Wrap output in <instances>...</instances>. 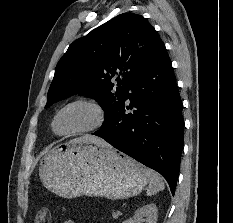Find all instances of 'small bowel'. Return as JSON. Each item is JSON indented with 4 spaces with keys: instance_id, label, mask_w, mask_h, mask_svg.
Masks as SVG:
<instances>
[{
    "instance_id": "c3829d8e",
    "label": "small bowel",
    "mask_w": 233,
    "mask_h": 223,
    "mask_svg": "<svg viewBox=\"0 0 233 223\" xmlns=\"http://www.w3.org/2000/svg\"><path fill=\"white\" fill-rule=\"evenodd\" d=\"M64 223H75V222L71 219H68V220H65Z\"/></svg>"
}]
</instances>
